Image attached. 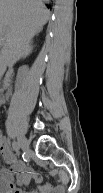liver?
Listing matches in <instances>:
<instances>
[{"instance_id": "obj_1", "label": "liver", "mask_w": 103, "mask_h": 193, "mask_svg": "<svg viewBox=\"0 0 103 193\" xmlns=\"http://www.w3.org/2000/svg\"><path fill=\"white\" fill-rule=\"evenodd\" d=\"M50 13L42 0H0L1 72L32 52V38L47 23Z\"/></svg>"}]
</instances>
